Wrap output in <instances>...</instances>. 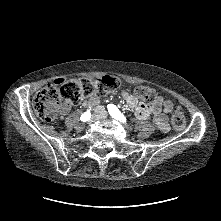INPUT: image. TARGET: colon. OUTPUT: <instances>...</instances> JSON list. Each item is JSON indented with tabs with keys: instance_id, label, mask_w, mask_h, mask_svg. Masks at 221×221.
<instances>
[{
	"instance_id": "5ec220e1",
	"label": "colon",
	"mask_w": 221,
	"mask_h": 221,
	"mask_svg": "<svg viewBox=\"0 0 221 221\" xmlns=\"http://www.w3.org/2000/svg\"><path fill=\"white\" fill-rule=\"evenodd\" d=\"M119 80L112 76L98 79H70L63 86L47 85L34 98L33 107L38 117L45 122H52L61 112L63 103H79L88 96H103L117 89ZM135 94L145 102L156 105L159 98L155 91L145 86H138ZM172 124L177 131H183L186 120L183 113L171 108Z\"/></svg>"
}]
</instances>
